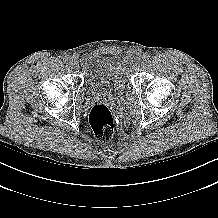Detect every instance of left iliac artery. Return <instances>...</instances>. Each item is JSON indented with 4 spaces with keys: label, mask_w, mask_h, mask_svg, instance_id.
Listing matches in <instances>:
<instances>
[{
    "label": "left iliac artery",
    "mask_w": 218,
    "mask_h": 218,
    "mask_svg": "<svg viewBox=\"0 0 218 218\" xmlns=\"http://www.w3.org/2000/svg\"><path fill=\"white\" fill-rule=\"evenodd\" d=\"M145 61L146 60H149L150 58V54H148L147 52L143 54V57H142Z\"/></svg>",
    "instance_id": "obj_1"
}]
</instances>
